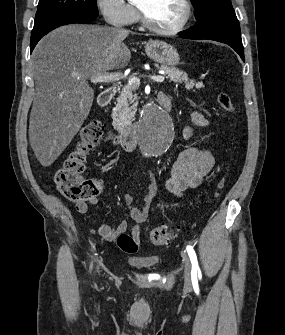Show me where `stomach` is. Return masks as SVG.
Masks as SVG:
<instances>
[{
    "mask_svg": "<svg viewBox=\"0 0 285 335\" xmlns=\"http://www.w3.org/2000/svg\"><path fill=\"white\" fill-rule=\"evenodd\" d=\"M145 54L154 60L161 66H167V68H174L179 64L180 56L173 46L166 44V42H160V40H151L145 44Z\"/></svg>",
    "mask_w": 285,
    "mask_h": 335,
    "instance_id": "obj_1",
    "label": "stomach"
}]
</instances>
